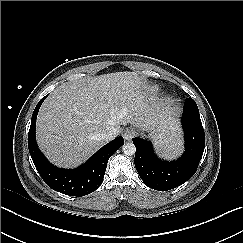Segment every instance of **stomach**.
<instances>
[{
    "label": "stomach",
    "instance_id": "obj_1",
    "mask_svg": "<svg viewBox=\"0 0 243 243\" xmlns=\"http://www.w3.org/2000/svg\"><path fill=\"white\" fill-rule=\"evenodd\" d=\"M151 136L155 139L156 145L159 149L162 147V143L166 141V138H168V135L164 131V128L161 124L156 123L148 127L147 129Z\"/></svg>",
    "mask_w": 243,
    "mask_h": 243
}]
</instances>
